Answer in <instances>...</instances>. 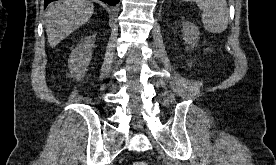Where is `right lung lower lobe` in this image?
I'll return each mask as SVG.
<instances>
[{
    "label": "right lung lower lobe",
    "instance_id": "1",
    "mask_svg": "<svg viewBox=\"0 0 276 165\" xmlns=\"http://www.w3.org/2000/svg\"><path fill=\"white\" fill-rule=\"evenodd\" d=\"M52 1H56V0H44V7H46ZM101 1L106 2L109 5H116L119 2V0H101Z\"/></svg>",
    "mask_w": 276,
    "mask_h": 165
}]
</instances>
